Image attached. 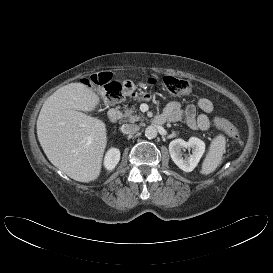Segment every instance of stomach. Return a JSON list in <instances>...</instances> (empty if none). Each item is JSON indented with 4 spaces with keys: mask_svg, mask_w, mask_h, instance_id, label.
Wrapping results in <instances>:
<instances>
[{
    "mask_svg": "<svg viewBox=\"0 0 273 273\" xmlns=\"http://www.w3.org/2000/svg\"><path fill=\"white\" fill-rule=\"evenodd\" d=\"M128 95L134 99L148 101L152 98V95L149 93H137L135 91H129Z\"/></svg>",
    "mask_w": 273,
    "mask_h": 273,
    "instance_id": "1",
    "label": "stomach"
}]
</instances>
